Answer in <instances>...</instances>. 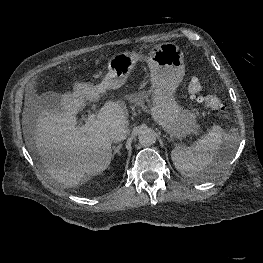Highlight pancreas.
<instances>
[{
    "label": "pancreas",
    "mask_w": 263,
    "mask_h": 263,
    "mask_svg": "<svg viewBox=\"0 0 263 263\" xmlns=\"http://www.w3.org/2000/svg\"><path fill=\"white\" fill-rule=\"evenodd\" d=\"M127 99L137 105H143L145 101H148L147 96L144 93H135L128 95Z\"/></svg>",
    "instance_id": "obj_1"
}]
</instances>
